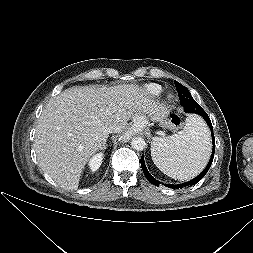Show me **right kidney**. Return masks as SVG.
<instances>
[{
	"label": "right kidney",
	"mask_w": 253,
	"mask_h": 253,
	"mask_svg": "<svg viewBox=\"0 0 253 253\" xmlns=\"http://www.w3.org/2000/svg\"><path fill=\"white\" fill-rule=\"evenodd\" d=\"M102 160H103V153H98L90 159L88 165L92 172H95L99 169V167L102 164Z\"/></svg>",
	"instance_id": "obj_1"
}]
</instances>
